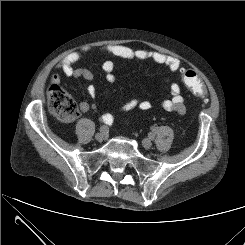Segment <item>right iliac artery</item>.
<instances>
[{
  "mask_svg": "<svg viewBox=\"0 0 245 245\" xmlns=\"http://www.w3.org/2000/svg\"><path fill=\"white\" fill-rule=\"evenodd\" d=\"M112 122H113V118H112L111 115H109V118L106 119L105 123L110 125V124H112ZM108 131H109V129H108V127L106 125L101 126L100 132L106 134V133H108Z\"/></svg>",
  "mask_w": 245,
  "mask_h": 245,
  "instance_id": "82829eb1",
  "label": "right iliac artery"
}]
</instances>
